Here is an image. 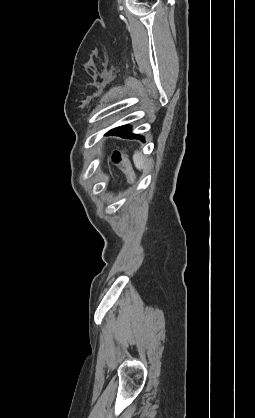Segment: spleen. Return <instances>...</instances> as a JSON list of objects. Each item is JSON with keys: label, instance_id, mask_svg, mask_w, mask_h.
<instances>
[{"label": "spleen", "instance_id": "1", "mask_svg": "<svg viewBox=\"0 0 255 418\" xmlns=\"http://www.w3.org/2000/svg\"><path fill=\"white\" fill-rule=\"evenodd\" d=\"M133 162L135 167L138 170H142L146 168V161L145 159L140 155V153L138 151H135L134 155H133Z\"/></svg>", "mask_w": 255, "mask_h": 418}]
</instances>
